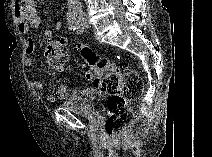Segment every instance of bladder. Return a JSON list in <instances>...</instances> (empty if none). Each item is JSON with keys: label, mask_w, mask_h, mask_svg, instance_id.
Wrapping results in <instances>:
<instances>
[{"label": "bladder", "mask_w": 212, "mask_h": 157, "mask_svg": "<svg viewBox=\"0 0 212 157\" xmlns=\"http://www.w3.org/2000/svg\"><path fill=\"white\" fill-rule=\"evenodd\" d=\"M105 94L95 88L87 87L73 90L61 105L88 119H96L99 105L104 101Z\"/></svg>", "instance_id": "bladder-1"}]
</instances>
